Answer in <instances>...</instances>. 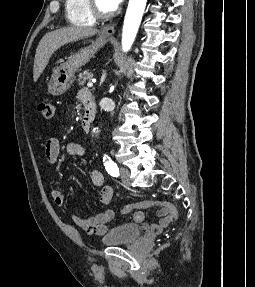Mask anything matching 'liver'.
Instances as JSON below:
<instances>
[{
	"label": "liver",
	"mask_w": 255,
	"mask_h": 287,
	"mask_svg": "<svg viewBox=\"0 0 255 287\" xmlns=\"http://www.w3.org/2000/svg\"><path fill=\"white\" fill-rule=\"evenodd\" d=\"M98 30L96 28H78V26H70V28H60L54 32H48L40 40L34 60L33 78L37 82L41 74H43L52 54L70 42H78L84 38L95 36Z\"/></svg>",
	"instance_id": "obj_1"
}]
</instances>
